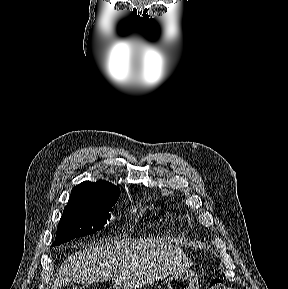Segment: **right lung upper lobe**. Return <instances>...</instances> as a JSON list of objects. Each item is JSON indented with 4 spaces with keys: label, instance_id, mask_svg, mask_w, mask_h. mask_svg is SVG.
<instances>
[{
    "label": "right lung upper lobe",
    "instance_id": "1",
    "mask_svg": "<svg viewBox=\"0 0 288 289\" xmlns=\"http://www.w3.org/2000/svg\"><path fill=\"white\" fill-rule=\"evenodd\" d=\"M106 192H119V189L114 184L106 181H98L96 183L85 181L73 187L71 196L95 197Z\"/></svg>",
    "mask_w": 288,
    "mask_h": 289
}]
</instances>
